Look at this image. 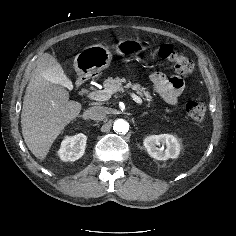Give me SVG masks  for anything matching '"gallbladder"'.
Returning a JSON list of instances; mask_svg holds the SVG:
<instances>
[{"mask_svg": "<svg viewBox=\"0 0 236 236\" xmlns=\"http://www.w3.org/2000/svg\"><path fill=\"white\" fill-rule=\"evenodd\" d=\"M37 61L43 64V67L45 68V73L50 79L57 83L63 82L65 78L64 71L53 56L49 54H43L38 58Z\"/></svg>", "mask_w": 236, "mask_h": 236, "instance_id": "obj_1", "label": "gallbladder"}]
</instances>
